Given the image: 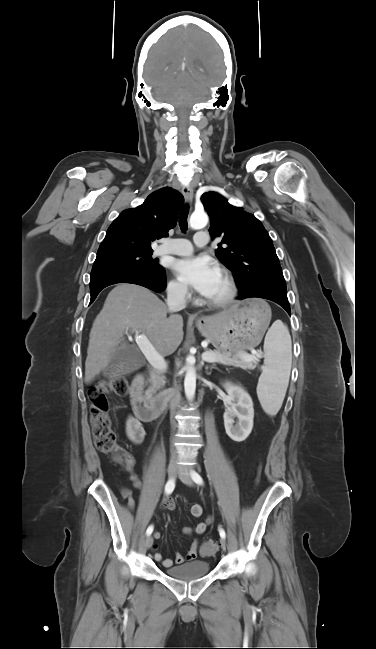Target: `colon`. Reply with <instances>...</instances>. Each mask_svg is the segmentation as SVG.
Listing matches in <instances>:
<instances>
[{"instance_id": "5ec220e1", "label": "colon", "mask_w": 376, "mask_h": 649, "mask_svg": "<svg viewBox=\"0 0 376 649\" xmlns=\"http://www.w3.org/2000/svg\"><path fill=\"white\" fill-rule=\"evenodd\" d=\"M128 388L129 381L126 377H110L90 387L87 397L90 402L89 419L96 447L101 452L109 454L115 462L130 472L134 467V460L128 451L117 442L116 434L111 428L107 403L108 394L123 396L127 394ZM217 549L218 545L214 541H206L201 547L204 555H212Z\"/></svg>"}]
</instances>
